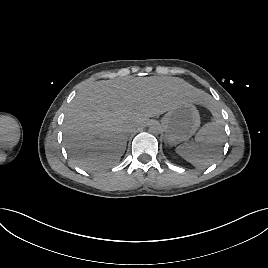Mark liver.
<instances>
[{"instance_id":"6515ba94","label":"liver","mask_w":268,"mask_h":268,"mask_svg":"<svg viewBox=\"0 0 268 268\" xmlns=\"http://www.w3.org/2000/svg\"><path fill=\"white\" fill-rule=\"evenodd\" d=\"M203 104L202 91L174 77H126L83 87L69 104L63 123L72 161L86 171L116 165L127 145V129L176 106Z\"/></svg>"}]
</instances>
